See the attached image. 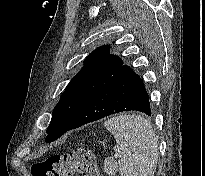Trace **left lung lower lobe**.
<instances>
[{
    "label": "left lung lower lobe",
    "mask_w": 205,
    "mask_h": 176,
    "mask_svg": "<svg viewBox=\"0 0 205 176\" xmlns=\"http://www.w3.org/2000/svg\"><path fill=\"white\" fill-rule=\"evenodd\" d=\"M131 110L151 115L149 98L142 79L130 67L122 65L81 104L68 130L111 114Z\"/></svg>",
    "instance_id": "0a47b994"
}]
</instances>
